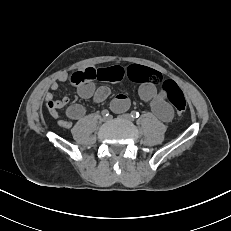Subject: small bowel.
I'll return each mask as SVG.
<instances>
[{
    "label": "small bowel",
    "mask_w": 231,
    "mask_h": 231,
    "mask_svg": "<svg viewBox=\"0 0 231 231\" xmlns=\"http://www.w3.org/2000/svg\"><path fill=\"white\" fill-rule=\"evenodd\" d=\"M135 67V66H134ZM125 69L121 66H112L106 68L87 67L78 73L83 76L82 82L78 84L77 92L83 99H93L100 103L108 98L110 89L106 86L96 88L94 81L121 82L126 76L133 78V68ZM68 79L67 73H62L58 81L64 82ZM58 81L50 84V91L45 93L46 107L50 114L58 118V109L66 107L67 119H59L58 125L69 129L72 126V120H79L85 115V108L80 104L69 105V98L63 97L61 100H54L53 91L58 90ZM140 98L149 103L153 113L162 121L169 122L173 117V109L168 101L167 93L164 89H158L154 84L141 82L139 86ZM129 100L126 95L119 94L111 102V108L115 112L126 111L129 108Z\"/></svg>",
    "instance_id": "c3829d8e"
}]
</instances>
